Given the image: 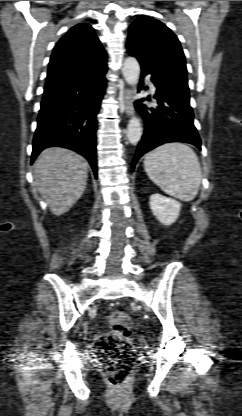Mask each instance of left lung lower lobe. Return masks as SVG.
Masks as SVG:
<instances>
[{
    "mask_svg": "<svg viewBox=\"0 0 242 416\" xmlns=\"http://www.w3.org/2000/svg\"><path fill=\"white\" fill-rule=\"evenodd\" d=\"M129 53V52H128ZM131 56L133 54L129 53ZM141 77L148 74L157 88L154 98L155 107H147L141 101L135 102V107L142 115L145 130L132 161L134 169L139 158L159 145L169 142H185L201 149V139L194 126V114L190 106V97L170 85L163 84L161 78L151 72L147 64L139 61ZM143 82H140V88ZM139 88V90H140ZM150 100V98H147Z\"/></svg>",
    "mask_w": 242,
    "mask_h": 416,
    "instance_id": "obj_1",
    "label": "left lung lower lobe"
}]
</instances>
